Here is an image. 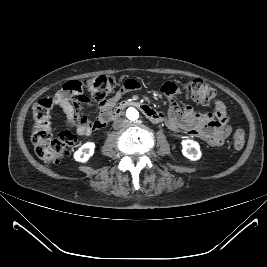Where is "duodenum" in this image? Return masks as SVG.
<instances>
[{"instance_id":"obj_1","label":"duodenum","mask_w":267,"mask_h":267,"mask_svg":"<svg viewBox=\"0 0 267 267\" xmlns=\"http://www.w3.org/2000/svg\"><path fill=\"white\" fill-rule=\"evenodd\" d=\"M129 106H134L139 108L143 114L152 122L158 123L162 121L163 116L161 113L157 112L155 109H153L150 105L142 103L137 100H126L118 103L110 112L108 115V120H115L117 119L125 108Z\"/></svg>"}]
</instances>
